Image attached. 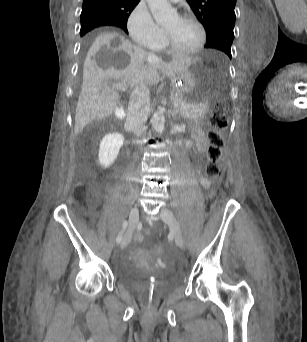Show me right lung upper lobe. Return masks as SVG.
<instances>
[{
	"label": "right lung upper lobe",
	"mask_w": 307,
	"mask_h": 342,
	"mask_svg": "<svg viewBox=\"0 0 307 342\" xmlns=\"http://www.w3.org/2000/svg\"><path fill=\"white\" fill-rule=\"evenodd\" d=\"M140 0H83L82 11H97L111 15L113 22L109 25L127 31V20Z\"/></svg>",
	"instance_id": "cb5924a9"
}]
</instances>
